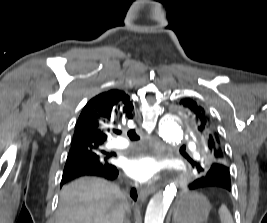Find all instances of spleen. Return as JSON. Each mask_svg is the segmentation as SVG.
<instances>
[{"label":"spleen","instance_id":"1","mask_svg":"<svg viewBox=\"0 0 267 223\" xmlns=\"http://www.w3.org/2000/svg\"><path fill=\"white\" fill-rule=\"evenodd\" d=\"M218 213L221 223H234L229 210L224 204L220 206Z\"/></svg>","mask_w":267,"mask_h":223}]
</instances>
